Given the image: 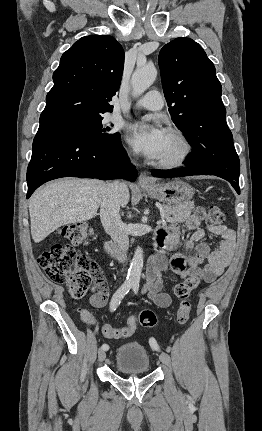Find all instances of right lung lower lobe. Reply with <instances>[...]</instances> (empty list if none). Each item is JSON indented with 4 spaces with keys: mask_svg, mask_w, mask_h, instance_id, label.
<instances>
[{
    "mask_svg": "<svg viewBox=\"0 0 262 431\" xmlns=\"http://www.w3.org/2000/svg\"><path fill=\"white\" fill-rule=\"evenodd\" d=\"M32 148L27 169V198L43 183L61 177L130 181L137 177L120 138L112 142L95 141L44 126L39 127Z\"/></svg>",
    "mask_w": 262,
    "mask_h": 431,
    "instance_id": "right-lung-lower-lobe-1",
    "label": "right lung lower lobe"
}]
</instances>
